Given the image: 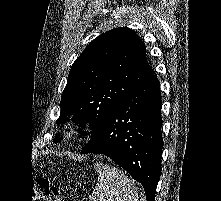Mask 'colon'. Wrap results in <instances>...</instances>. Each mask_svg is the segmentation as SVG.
I'll use <instances>...</instances> for the list:
<instances>
[{
  "instance_id": "5ec220e1",
  "label": "colon",
  "mask_w": 221,
  "mask_h": 201,
  "mask_svg": "<svg viewBox=\"0 0 221 201\" xmlns=\"http://www.w3.org/2000/svg\"><path fill=\"white\" fill-rule=\"evenodd\" d=\"M34 201H62L59 188L53 185L47 178H41L33 192Z\"/></svg>"
}]
</instances>
